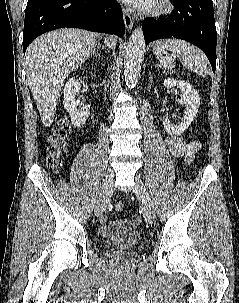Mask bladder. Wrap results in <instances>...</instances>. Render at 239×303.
<instances>
[{
  "instance_id": "obj_1",
  "label": "bladder",
  "mask_w": 239,
  "mask_h": 303,
  "mask_svg": "<svg viewBox=\"0 0 239 303\" xmlns=\"http://www.w3.org/2000/svg\"><path fill=\"white\" fill-rule=\"evenodd\" d=\"M140 244V235L136 232L121 234L104 241L107 249H133Z\"/></svg>"
}]
</instances>
